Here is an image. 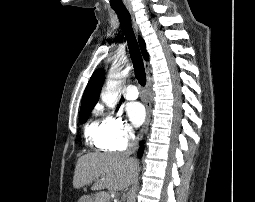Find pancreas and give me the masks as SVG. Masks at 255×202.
<instances>
[{
    "instance_id": "pancreas-1",
    "label": "pancreas",
    "mask_w": 255,
    "mask_h": 202,
    "mask_svg": "<svg viewBox=\"0 0 255 202\" xmlns=\"http://www.w3.org/2000/svg\"><path fill=\"white\" fill-rule=\"evenodd\" d=\"M93 202H111L108 193L98 192L93 197Z\"/></svg>"
}]
</instances>
